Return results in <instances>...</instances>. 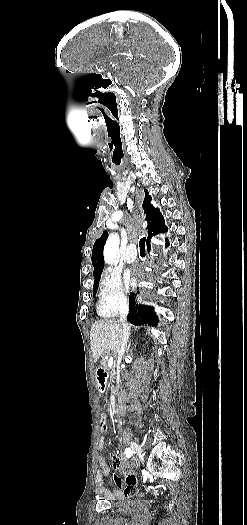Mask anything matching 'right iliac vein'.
<instances>
[{
  "label": "right iliac vein",
  "instance_id": "1",
  "mask_svg": "<svg viewBox=\"0 0 247 525\" xmlns=\"http://www.w3.org/2000/svg\"><path fill=\"white\" fill-rule=\"evenodd\" d=\"M131 449L135 455V457H138L140 455V448L138 444L135 441H131L130 443ZM135 463H137V459L135 458Z\"/></svg>",
  "mask_w": 247,
  "mask_h": 525
}]
</instances>
